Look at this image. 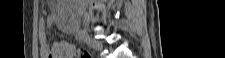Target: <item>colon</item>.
Segmentation results:
<instances>
[{
    "instance_id": "obj_1",
    "label": "colon",
    "mask_w": 225,
    "mask_h": 58,
    "mask_svg": "<svg viewBox=\"0 0 225 58\" xmlns=\"http://www.w3.org/2000/svg\"><path fill=\"white\" fill-rule=\"evenodd\" d=\"M77 58H91V53L86 49H79L77 52Z\"/></svg>"
}]
</instances>
